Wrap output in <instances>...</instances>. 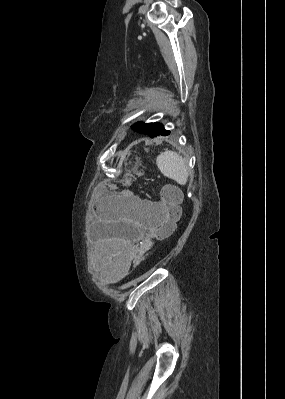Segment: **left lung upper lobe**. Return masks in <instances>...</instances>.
<instances>
[{
  "label": "left lung upper lobe",
  "mask_w": 285,
  "mask_h": 399,
  "mask_svg": "<svg viewBox=\"0 0 285 399\" xmlns=\"http://www.w3.org/2000/svg\"><path fill=\"white\" fill-rule=\"evenodd\" d=\"M133 130L142 134L147 135H166L169 133L168 130H165L163 125L160 123H142L138 122L132 126Z\"/></svg>",
  "instance_id": "obj_1"
}]
</instances>
